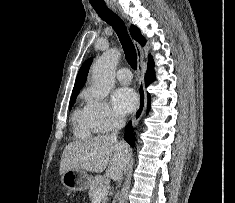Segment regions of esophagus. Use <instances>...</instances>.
<instances>
[{"instance_id":"esophagus-1","label":"esophagus","mask_w":235,"mask_h":203,"mask_svg":"<svg viewBox=\"0 0 235 203\" xmlns=\"http://www.w3.org/2000/svg\"><path fill=\"white\" fill-rule=\"evenodd\" d=\"M135 48L137 52V58H138V71H137V77H138V105L133 113L132 116V124L136 125L140 118L143 115V112L145 110L146 106V93L144 88V78H143V70H142V61H143V51L138 43H135Z\"/></svg>"}]
</instances>
